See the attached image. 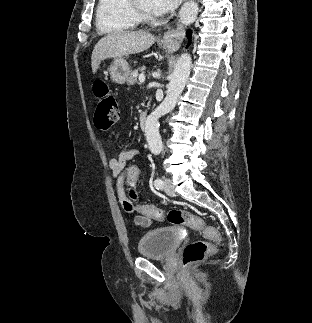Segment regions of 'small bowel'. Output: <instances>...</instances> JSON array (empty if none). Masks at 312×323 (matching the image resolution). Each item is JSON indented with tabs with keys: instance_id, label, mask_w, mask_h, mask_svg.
I'll use <instances>...</instances> for the list:
<instances>
[{
	"instance_id": "c3829d8e",
	"label": "small bowel",
	"mask_w": 312,
	"mask_h": 323,
	"mask_svg": "<svg viewBox=\"0 0 312 323\" xmlns=\"http://www.w3.org/2000/svg\"><path fill=\"white\" fill-rule=\"evenodd\" d=\"M141 155L142 151L139 148H129L122 150L118 155L111 157L108 161V167L116 180V190L119 200L127 199L124 189L126 184L124 183L125 174L121 173V168L126 167V165H123V158H139ZM157 219L158 217L156 216H135L134 221L139 226L149 227Z\"/></svg>"
}]
</instances>
